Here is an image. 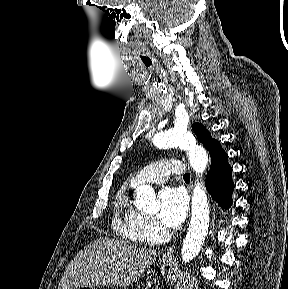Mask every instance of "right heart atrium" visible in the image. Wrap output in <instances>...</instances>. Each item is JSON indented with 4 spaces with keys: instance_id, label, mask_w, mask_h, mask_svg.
Segmentation results:
<instances>
[{
    "instance_id": "1",
    "label": "right heart atrium",
    "mask_w": 288,
    "mask_h": 289,
    "mask_svg": "<svg viewBox=\"0 0 288 289\" xmlns=\"http://www.w3.org/2000/svg\"><path fill=\"white\" fill-rule=\"evenodd\" d=\"M140 231L147 241L159 240L163 234V230L157 222L152 217L145 215L140 222Z\"/></svg>"
}]
</instances>
